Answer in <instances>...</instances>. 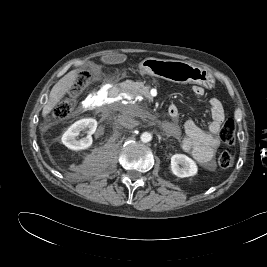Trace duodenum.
Segmentation results:
<instances>
[{
    "label": "duodenum",
    "instance_id": "duodenum-1",
    "mask_svg": "<svg viewBox=\"0 0 267 267\" xmlns=\"http://www.w3.org/2000/svg\"><path fill=\"white\" fill-rule=\"evenodd\" d=\"M128 91H129V84L126 81H119L112 88V95L115 98H122ZM168 114L171 118H176L178 113L173 106H170L168 109Z\"/></svg>",
    "mask_w": 267,
    "mask_h": 267
}]
</instances>
